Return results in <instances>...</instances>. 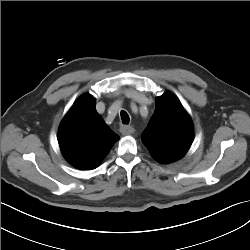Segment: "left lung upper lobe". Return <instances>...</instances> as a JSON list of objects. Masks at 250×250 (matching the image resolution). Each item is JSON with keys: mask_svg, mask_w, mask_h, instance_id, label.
Masks as SVG:
<instances>
[{"mask_svg": "<svg viewBox=\"0 0 250 250\" xmlns=\"http://www.w3.org/2000/svg\"><path fill=\"white\" fill-rule=\"evenodd\" d=\"M141 140L161 163L181 158L193 141V126L179 100L166 91L156 99L155 112Z\"/></svg>", "mask_w": 250, "mask_h": 250, "instance_id": "1", "label": "left lung upper lobe"}]
</instances>
